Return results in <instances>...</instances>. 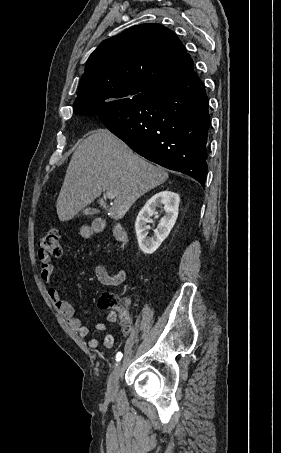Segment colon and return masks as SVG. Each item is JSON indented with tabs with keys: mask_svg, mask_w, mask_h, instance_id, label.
<instances>
[{
	"mask_svg": "<svg viewBox=\"0 0 281 453\" xmlns=\"http://www.w3.org/2000/svg\"><path fill=\"white\" fill-rule=\"evenodd\" d=\"M63 255V244L61 232L56 227H50L48 233L41 240V250L38 255L40 262H49L52 259H59Z\"/></svg>",
	"mask_w": 281,
	"mask_h": 453,
	"instance_id": "obj_1",
	"label": "colon"
}]
</instances>
